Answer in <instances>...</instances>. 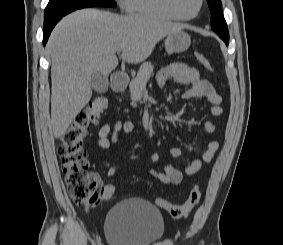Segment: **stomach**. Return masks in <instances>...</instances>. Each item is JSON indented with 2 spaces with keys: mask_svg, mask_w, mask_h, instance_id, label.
Masks as SVG:
<instances>
[{
  "mask_svg": "<svg viewBox=\"0 0 283 245\" xmlns=\"http://www.w3.org/2000/svg\"><path fill=\"white\" fill-rule=\"evenodd\" d=\"M190 44V36L182 30L168 34L165 39V49L168 54L182 53Z\"/></svg>",
  "mask_w": 283,
  "mask_h": 245,
  "instance_id": "1",
  "label": "stomach"
}]
</instances>
